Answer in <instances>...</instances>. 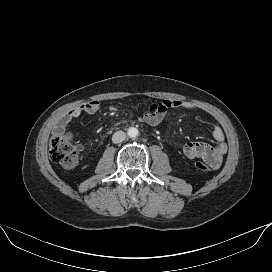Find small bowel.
Wrapping results in <instances>:
<instances>
[{
  "label": "small bowel",
  "mask_w": 272,
  "mask_h": 272,
  "mask_svg": "<svg viewBox=\"0 0 272 272\" xmlns=\"http://www.w3.org/2000/svg\"><path fill=\"white\" fill-rule=\"evenodd\" d=\"M99 108L100 103L98 101H89L71 109L57 120L53 129L54 133H63L70 121L82 115H92L96 113ZM172 108L187 111H193L195 109L191 103L186 101L164 100L151 105L149 109L139 117V120L149 125H158L164 119L166 113ZM209 125L216 144L210 145L202 142H188L183 147V153L189 159H202L210 168L218 169L222 164L223 156L226 154L228 147L221 126L215 121H210Z\"/></svg>",
  "instance_id": "obj_1"
}]
</instances>
